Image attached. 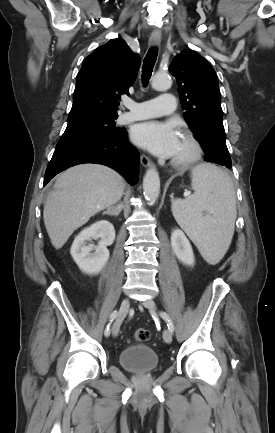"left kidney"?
I'll list each match as a JSON object with an SVG mask.
<instances>
[{"label": "left kidney", "mask_w": 275, "mask_h": 433, "mask_svg": "<svg viewBox=\"0 0 275 433\" xmlns=\"http://www.w3.org/2000/svg\"><path fill=\"white\" fill-rule=\"evenodd\" d=\"M171 246L175 255L182 263L187 265L194 264L195 259L192 246L182 230L176 229L173 231Z\"/></svg>", "instance_id": "1"}]
</instances>
